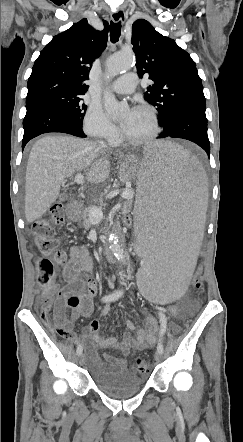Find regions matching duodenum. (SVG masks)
Segmentation results:
<instances>
[{"label":"duodenum","mask_w":243,"mask_h":442,"mask_svg":"<svg viewBox=\"0 0 243 442\" xmlns=\"http://www.w3.org/2000/svg\"><path fill=\"white\" fill-rule=\"evenodd\" d=\"M70 210L72 213H77L78 210V201L77 200H73L70 204ZM117 249L116 247L112 246V245H108L105 247L104 249V255L105 258L107 260H112L114 259V250Z\"/></svg>","instance_id":"1"}]
</instances>
